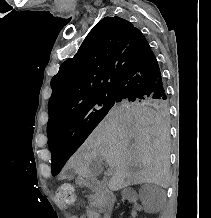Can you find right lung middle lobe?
<instances>
[{
	"instance_id": "1",
	"label": "right lung middle lobe",
	"mask_w": 211,
	"mask_h": 218,
	"mask_svg": "<svg viewBox=\"0 0 211 218\" xmlns=\"http://www.w3.org/2000/svg\"><path fill=\"white\" fill-rule=\"evenodd\" d=\"M114 105H148L161 112L168 110L167 98H123L113 90L106 91L66 112L48 127L49 147L73 144L78 148ZM64 164L52 161V175H57Z\"/></svg>"
}]
</instances>
